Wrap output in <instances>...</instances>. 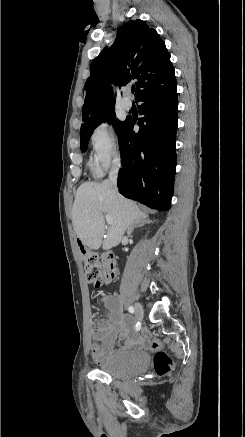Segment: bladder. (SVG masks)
Masks as SVG:
<instances>
[{
    "label": "bladder",
    "instance_id": "bladder-1",
    "mask_svg": "<svg viewBox=\"0 0 245 437\" xmlns=\"http://www.w3.org/2000/svg\"><path fill=\"white\" fill-rule=\"evenodd\" d=\"M149 355L143 350H117L112 356L100 362V371L118 379H131L146 370Z\"/></svg>",
    "mask_w": 245,
    "mask_h": 437
}]
</instances>
